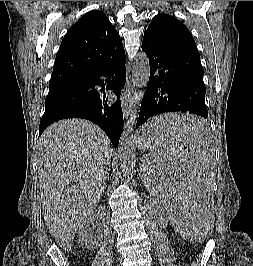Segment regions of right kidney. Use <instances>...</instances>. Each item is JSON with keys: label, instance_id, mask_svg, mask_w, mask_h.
I'll use <instances>...</instances> for the list:
<instances>
[{"label": "right kidney", "instance_id": "ca27d5eb", "mask_svg": "<svg viewBox=\"0 0 253 266\" xmlns=\"http://www.w3.org/2000/svg\"><path fill=\"white\" fill-rule=\"evenodd\" d=\"M95 216H90L85 221H83L78 227V238L81 246L87 249H94L98 247L102 240V234H92V226Z\"/></svg>", "mask_w": 253, "mask_h": 266}]
</instances>
